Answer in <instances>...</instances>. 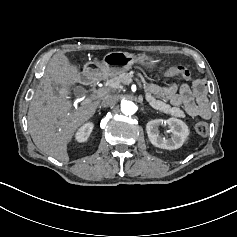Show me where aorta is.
<instances>
[{"mask_svg":"<svg viewBox=\"0 0 237 237\" xmlns=\"http://www.w3.org/2000/svg\"><path fill=\"white\" fill-rule=\"evenodd\" d=\"M121 112L124 115H133L136 112V105L131 101H122Z\"/></svg>","mask_w":237,"mask_h":237,"instance_id":"762f6f07","label":"aorta"}]
</instances>
